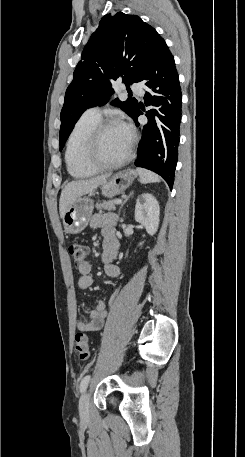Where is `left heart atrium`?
Listing matches in <instances>:
<instances>
[{
	"label": "left heart atrium",
	"instance_id": "39dd6f15",
	"mask_svg": "<svg viewBox=\"0 0 245 457\" xmlns=\"http://www.w3.org/2000/svg\"><path fill=\"white\" fill-rule=\"evenodd\" d=\"M123 131L130 136V128L127 124H125L123 127H121Z\"/></svg>",
	"mask_w": 245,
	"mask_h": 457
}]
</instances>
